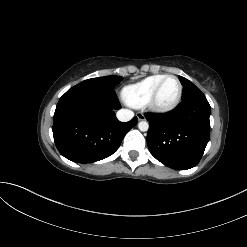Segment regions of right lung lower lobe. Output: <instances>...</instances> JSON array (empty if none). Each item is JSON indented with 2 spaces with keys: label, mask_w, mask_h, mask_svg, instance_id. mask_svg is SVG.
Returning a JSON list of instances; mask_svg holds the SVG:
<instances>
[{
  "label": "right lung lower lobe",
  "mask_w": 247,
  "mask_h": 247,
  "mask_svg": "<svg viewBox=\"0 0 247 247\" xmlns=\"http://www.w3.org/2000/svg\"><path fill=\"white\" fill-rule=\"evenodd\" d=\"M121 106L112 88L76 85L59 100L53 137L59 152L77 163H92L112 155L137 117L120 122L113 112Z\"/></svg>",
  "instance_id": "1"
}]
</instances>
